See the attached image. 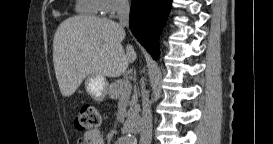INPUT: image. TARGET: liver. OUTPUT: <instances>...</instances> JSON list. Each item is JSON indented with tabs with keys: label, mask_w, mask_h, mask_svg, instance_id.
I'll return each instance as SVG.
<instances>
[{
	"label": "liver",
	"mask_w": 273,
	"mask_h": 144,
	"mask_svg": "<svg viewBox=\"0 0 273 144\" xmlns=\"http://www.w3.org/2000/svg\"><path fill=\"white\" fill-rule=\"evenodd\" d=\"M124 38V28L111 19L80 15L64 20L53 39L54 70L61 94L73 95L89 75H122L137 58L132 45L124 51Z\"/></svg>",
	"instance_id": "liver-1"
}]
</instances>
